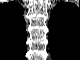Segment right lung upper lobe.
Listing matches in <instances>:
<instances>
[{"instance_id": "1", "label": "right lung upper lobe", "mask_w": 80, "mask_h": 60, "mask_svg": "<svg viewBox=\"0 0 80 60\" xmlns=\"http://www.w3.org/2000/svg\"><path fill=\"white\" fill-rule=\"evenodd\" d=\"M23 8L18 3L0 7V50L2 54L26 53V23Z\"/></svg>"}]
</instances>
